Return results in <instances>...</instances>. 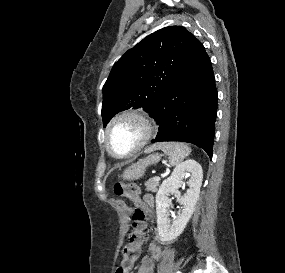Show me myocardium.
Segmentation results:
<instances>
[{
    "label": "myocardium",
    "mask_w": 285,
    "mask_h": 273,
    "mask_svg": "<svg viewBox=\"0 0 285 273\" xmlns=\"http://www.w3.org/2000/svg\"><path fill=\"white\" fill-rule=\"evenodd\" d=\"M125 118H133L136 119L142 126L143 135L137 145L127 154L118 155L113 152L109 143V135L111 132L112 127L119 121ZM155 122L151 118L149 114L142 110L138 109H127L119 112L115 116H113L110 121L108 122L107 126L104 129V146L107 152L117 159H126L134 156L137 154L142 148H144L148 142L152 139L155 133Z\"/></svg>",
    "instance_id": "myocardium-1"
}]
</instances>
